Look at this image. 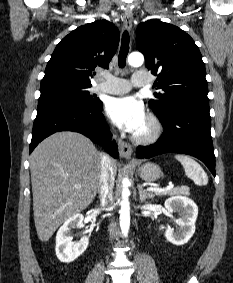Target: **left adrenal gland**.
<instances>
[{
	"label": "left adrenal gland",
	"mask_w": 233,
	"mask_h": 283,
	"mask_svg": "<svg viewBox=\"0 0 233 283\" xmlns=\"http://www.w3.org/2000/svg\"><path fill=\"white\" fill-rule=\"evenodd\" d=\"M137 187H138L139 198H140L141 202H144L148 198H152V195L150 193L146 192L140 184H138Z\"/></svg>",
	"instance_id": "left-adrenal-gland-1"
}]
</instances>
